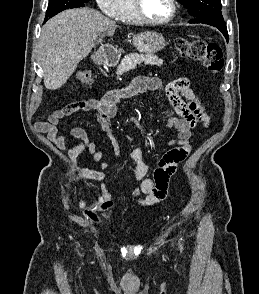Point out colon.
<instances>
[{"instance_id": "5ec220e1", "label": "colon", "mask_w": 259, "mask_h": 294, "mask_svg": "<svg viewBox=\"0 0 259 294\" xmlns=\"http://www.w3.org/2000/svg\"><path fill=\"white\" fill-rule=\"evenodd\" d=\"M175 47L181 56L203 63L206 69L213 74L219 73L224 66L221 47L216 43L178 38L175 40ZM92 81L91 70L84 69L77 73L79 84L90 85Z\"/></svg>"}]
</instances>
